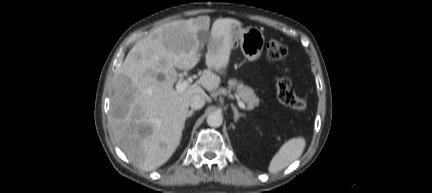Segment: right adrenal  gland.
Here are the masks:
<instances>
[{
	"label": "right adrenal gland",
	"instance_id": "right-adrenal-gland-1",
	"mask_svg": "<svg viewBox=\"0 0 432 193\" xmlns=\"http://www.w3.org/2000/svg\"><path fill=\"white\" fill-rule=\"evenodd\" d=\"M193 114H194V110L189 111L187 116H186V119L191 117ZM184 127H185V124H184Z\"/></svg>",
	"mask_w": 432,
	"mask_h": 193
}]
</instances>
